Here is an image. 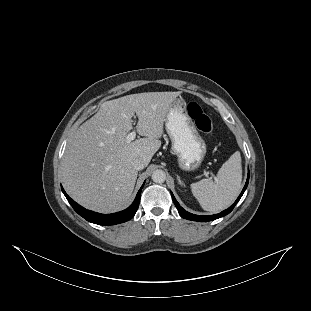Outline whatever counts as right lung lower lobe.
<instances>
[{"mask_svg": "<svg viewBox=\"0 0 311 311\" xmlns=\"http://www.w3.org/2000/svg\"><path fill=\"white\" fill-rule=\"evenodd\" d=\"M142 188H143V185L138 191L136 198L134 202L132 203V205L128 207L126 210L113 213V214H101V213H96L90 210H86L85 208L77 204L66 194L64 189L61 187L64 195L66 196L68 202L71 204L73 209L80 216L85 218L87 221L95 223V224H99V225H114V224H119V223H123V222L130 220L135 215L138 209Z\"/></svg>", "mask_w": 311, "mask_h": 311, "instance_id": "1", "label": "right lung lower lobe"}]
</instances>
